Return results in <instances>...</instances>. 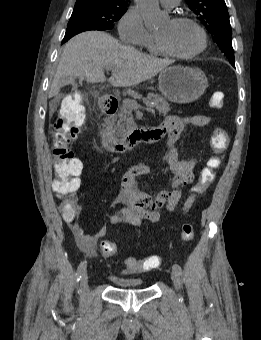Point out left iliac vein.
Here are the masks:
<instances>
[{
  "mask_svg": "<svg viewBox=\"0 0 261 340\" xmlns=\"http://www.w3.org/2000/svg\"><path fill=\"white\" fill-rule=\"evenodd\" d=\"M171 279L174 283V286L176 288V290H178L180 288V277H179V274L175 271V270H172L171 271Z\"/></svg>",
  "mask_w": 261,
  "mask_h": 340,
  "instance_id": "left-iliac-vein-1",
  "label": "left iliac vein"
}]
</instances>
